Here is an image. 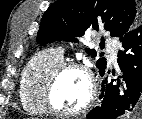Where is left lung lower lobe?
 <instances>
[{
	"label": "left lung lower lobe",
	"instance_id": "left-lung-lower-lobe-1",
	"mask_svg": "<svg viewBox=\"0 0 142 119\" xmlns=\"http://www.w3.org/2000/svg\"><path fill=\"white\" fill-rule=\"evenodd\" d=\"M120 41L123 46L117 62L122 75L102 82L100 105L87 114V119H118L127 113H142V25L129 30ZM104 74L105 70L100 72Z\"/></svg>",
	"mask_w": 142,
	"mask_h": 119
}]
</instances>
